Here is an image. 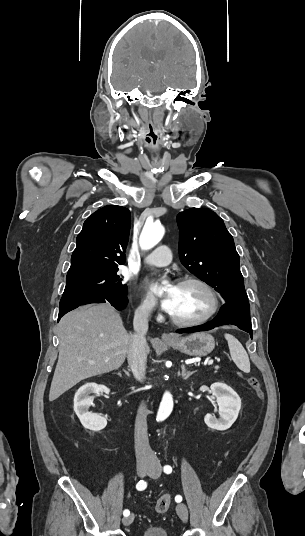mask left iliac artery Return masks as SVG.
<instances>
[{
    "label": "left iliac artery",
    "instance_id": "left-iliac-artery-1",
    "mask_svg": "<svg viewBox=\"0 0 305 536\" xmlns=\"http://www.w3.org/2000/svg\"><path fill=\"white\" fill-rule=\"evenodd\" d=\"M164 472H165L166 474H170V473L172 472V468H171V466H169V465L164 466ZM175 501H176V502H181V501H182V497H181L180 495H177V496L175 497Z\"/></svg>",
    "mask_w": 305,
    "mask_h": 536
}]
</instances>
